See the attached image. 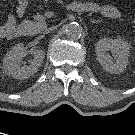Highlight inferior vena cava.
<instances>
[{"instance_id":"obj_1","label":"inferior vena cava","mask_w":135,"mask_h":135,"mask_svg":"<svg viewBox=\"0 0 135 135\" xmlns=\"http://www.w3.org/2000/svg\"><path fill=\"white\" fill-rule=\"evenodd\" d=\"M53 30H54V27L47 29L46 31H44V33H49V32H51Z\"/></svg>"}]
</instances>
